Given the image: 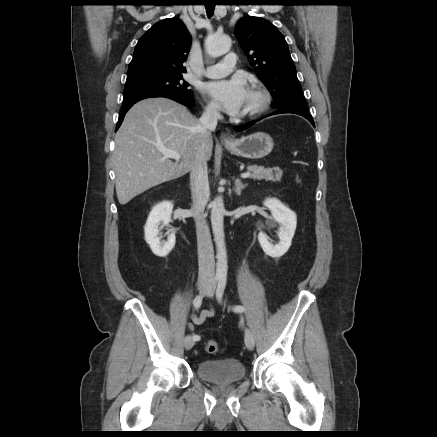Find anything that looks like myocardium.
<instances>
[{
  "mask_svg": "<svg viewBox=\"0 0 437 437\" xmlns=\"http://www.w3.org/2000/svg\"><path fill=\"white\" fill-rule=\"evenodd\" d=\"M250 91L258 96L257 104L241 115L242 119H252L262 114L270 104L269 92L260 85H252Z\"/></svg>",
  "mask_w": 437,
  "mask_h": 437,
  "instance_id": "f54148a6",
  "label": "myocardium"
}]
</instances>
